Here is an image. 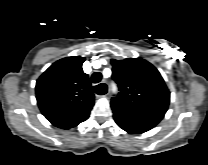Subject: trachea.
<instances>
[{
	"label": "trachea",
	"mask_w": 208,
	"mask_h": 165,
	"mask_svg": "<svg viewBox=\"0 0 208 165\" xmlns=\"http://www.w3.org/2000/svg\"><path fill=\"white\" fill-rule=\"evenodd\" d=\"M102 79V74L100 72H95L91 76L92 83H99ZM94 92L98 95H104L106 93V87L99 84L93 88Z\"/></svg>",
	"instance_id": "obj_1"
}]
</instances>
